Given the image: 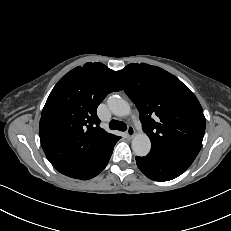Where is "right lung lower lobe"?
<instances>
[{
    "label": "right lung lower lobe",
    "instance_id": "right-lung-lower-lobe-1",
    "mask_svg": "<svg viewBox=\"0 0 231 231\" xmlns=\"http://www.w3.org/2000/svg\"><path fill=\"white\" fill-rule=\"evenodd\" d=\"M119 139L120 137L113 139L110 144L91 161L63 174L71 178L82 180L91 179L97 176L109 162L113 148Z\"/></svg>",
    "mask_w": 231,
    "mask_h": 231
}]
</instances>
